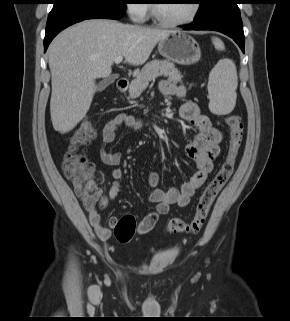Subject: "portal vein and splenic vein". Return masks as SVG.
<instances>
[{
  "label": "portal vein and splenic vein",
  "instance_id": "1",
  "mask_svg": "<svg viewBox=\"0 0 290 321\" xmlns=\"http://www.w3.org/2000/svg\"><path fill=\"white\" fill-rule=\"evenodd\" d=\"M122 60H123V57H122V56H118V57H116V58L114 59V62H115L116 64H119V63L122 62Z\"/></svg>",
  "mask_w": 290,
  "mask_h": 321
}]
</instances>
